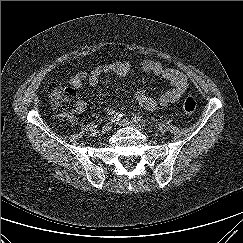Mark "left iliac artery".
<instances>
[{
    "label": "left iliac artery",
    "instance_id": "left-iliac-artery-1",
    "mask_svg": "<svg viewBox=\"0 0 243 243\" xmlns=\"http://www.w3.org/2000/svg\"><path fill=\"white\" fill-rule=\"evenodd\" d=\"M133 120L137 123H141L142 125H145V120L139 116V115H133Z\"/></svg>",
    "mask_w": 243,
    "mask_h": 243
}]
</instances>
